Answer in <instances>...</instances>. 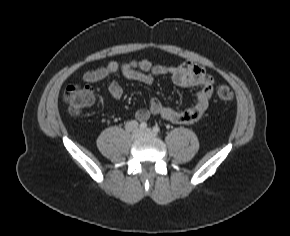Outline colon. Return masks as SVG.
I'll return each instance as SVG.
<instances>
[{
	"label": "colon",
	"instance_id": "1",
	"mask_svg": "<svg viewBox=\"0 0 290 236\" xmlns=\"http://www.w3.org/2000/svg\"><path fill=\"white\" fill-rule=\"evenodd\" d=\"M216 95L221 101H230L233 91L228 85L221 84L217 87ZM63 98L72 114H80L93 104L95 92L90 86L71 84L65 89Z\"/></svg>",
	"mask_w": 290,
	"mask_h": 236
}]
</instances>
